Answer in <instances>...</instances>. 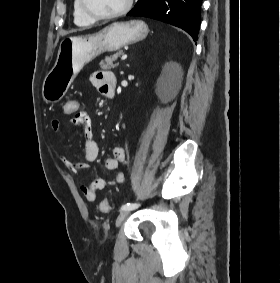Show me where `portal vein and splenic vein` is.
<instances>
[{"instance_id":"obj_1","label":"portal vein and splenic vein","mask_w":280,"mask_h":283,"mask_svg":"<svg viewBox=\"0 0 280 283\" xmlns=\"http://www.w3.org/2000/svg\"><path fill=\"white\" fill-rule=\"evenodd\" d=\"M126 59H127V54H123L122 57H121V60L124 61V60H126Z\"/></svg>"}]
</instances>
